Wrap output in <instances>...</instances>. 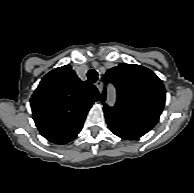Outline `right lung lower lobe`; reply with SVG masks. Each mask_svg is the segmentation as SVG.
<instances>
[{
    "label": "right lung lower lobe",
    "mask_w": 194,
    "mask_h": 193,
    "mask_svg": "<svg viewBox=\"0 0 194 193\" xmlns=\"http://www.w3.org/2000/svg\"><path fill=\"white\" fill-rule=\"evenodd\" d=\"M81 129H82V127L80 129H78L75 133H73L72 135L55 140V141H52V142L56 143V144H66V143L70 142L71 140H73L77 136V134L81 131Z\"/></svg>",
    "instance_id": "right-lung-lower-lobe-1"
}]
</instances>
